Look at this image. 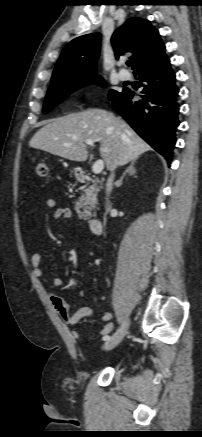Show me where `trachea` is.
Returning a JSON list of instances; mask_svg holds the SVG:
<instances>
[{
  "label": "trachea",
  "instance_id": "1",
  "mask_svg": "<svg viewBox=\"0 0 202 437\" xmlns=\"http://www.w3.org/2000/svg\"><path fill=\"white\" fill-rule=\"evenodd\" d=\"M126 64H127V66H129V67L131 66V62H130V61H127Z\"/></svg>",
  "mask_w": 202,
  "mask_h": 437
}]
</instances>
